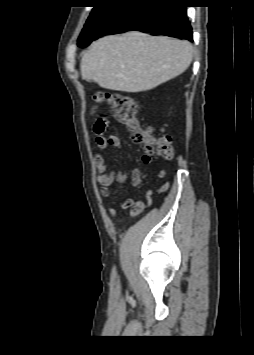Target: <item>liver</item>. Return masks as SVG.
Here are the masks:
<instances>
[{"label":"liver","mask_w":254,"mask_h":355,"mask_svg":"<svg viewBox=\"0 0 254 355\" xmlns=\"http://www.w3.org/2000/svg\"><path fill=\"white\" fill-rule=\"evenodd\" d=\"M193 51L186 40L131 31L95 41L83 55L80 71L83 79L102 88L142 92L182 74L191 64Z\"/></svg>","instance_id":"obj_1"}]
</instances>
